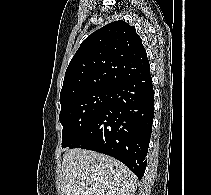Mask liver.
<instances>
[{"label": "liver", "mask_w": 211, "mask_h": 195, "mask_svg": "<svg viewBox=\"0 0 211 195\" xmlns=\"http://www.w3.org/2000/svg\"><path fill=\"white\" fill-rule=\"evenodd\" d=\"M61 195H134L137 177L120 161L85 149H68L60 171Z\"/></svg>", "instance_id": "6515ba94"}]
</instances>
